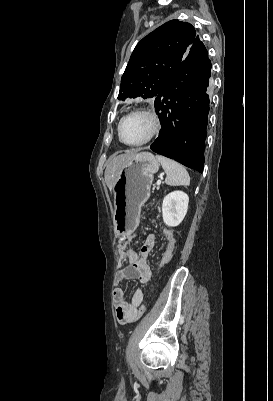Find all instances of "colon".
I'll return each instance as SVG.
<instances>
[{"instance_id":"obj_1","label":"colon","mask_w":273,"mask_h":401,"mask_svg":"<svg viewBox=\"0 0 273 401\" xmlns=\"http://www.w3.org/2000/svg\"><path fill=\"white\" fill-rule=\"evenodd\" d=\"M138 279L140 282H148L150 280V275L148 273H140Z\"/></svg>"}]
</instances>
